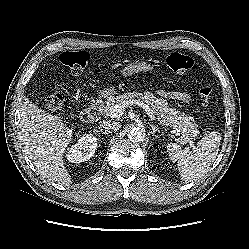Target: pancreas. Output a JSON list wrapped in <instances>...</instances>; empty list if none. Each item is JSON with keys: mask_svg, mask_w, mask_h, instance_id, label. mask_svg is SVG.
<instances>
[{"mask_svg": "<svg viewBox=\"0 0 249 249\" xmlns=\"http://www.w3.org/2000/svg\"><path fill=\"white\" fill-rule=\"evenodd\" d=\"M135 100H143L153 110L163 125L170 126L172 132L180 136L177 138V141L181 144L190 142L198 135V125L194 122L193 117L171 108L167 102L155 97L151 92H128L116 97H111L101 107V112L105 115H109L110 110L115 105L129 101L133 103L128 105H132ZM128 105H126L125 108L128 107Z\"/></svg>", "mask_w": 249, "mask_h": 249, "instance_id": "cf45deb5", "label": "pancreas"}]
</instances>
